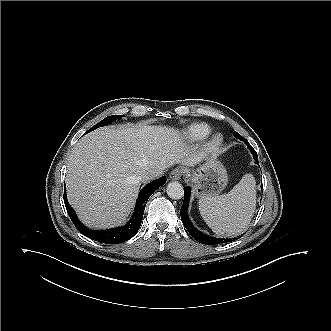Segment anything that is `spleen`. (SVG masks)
<instances>
[{"label": "spleen", "mask_w": 331, "mask_h": 331, "mask_svg": "<svg viewBox=\"0 0 331 331\" xmlns=\"http://www.w3.org/2000/svg\"><path fill=\"white\" fill-rule=\"evenodd\" d=\"M255 178L245 174L228 193L199 198L204 221L218 235L237 236L248 228L256 208Z\"/></svg>", "instance_id": "spleen-1"}]
</instances>
